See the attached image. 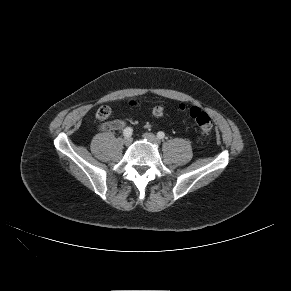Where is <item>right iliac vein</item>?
<instances>
[{"label": "right iliac vein", "instance_id": "63e3f726", "mask_svg": "<svg viewBox=\"0 0 291 291\" xmlns=\"http://www.w3.org/2000/svg\"><path fill=\"white\" fill-rule=\"evenodd\" d=\"M123 142L126 146H128L131 144L132 139H131V137H126V138H124Z\"/></svg>", "mask_w": 291, "mask_h": 291}]
</instances>
